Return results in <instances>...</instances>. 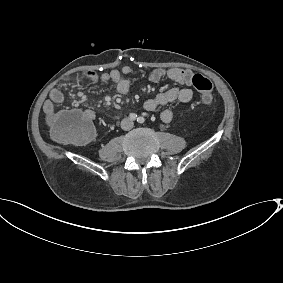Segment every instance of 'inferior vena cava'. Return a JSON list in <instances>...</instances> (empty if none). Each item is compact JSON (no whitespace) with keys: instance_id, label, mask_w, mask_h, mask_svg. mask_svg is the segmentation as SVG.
<instances>
[{"instance_id":"1","label":"inferior vena cava","mask_w":283,"mask_h":283,"mask_svg":"<svg viewBox=\"0 0 283 283\" xmlns=\"http://www.w3.org/2000/svg\"><path fill=\"white\" fill-rule=\"evenodd\" d=\"M121 128L125 131H128L133 128V121L130 118H124L121 121Z\"/></svg>"}]
</instances>
